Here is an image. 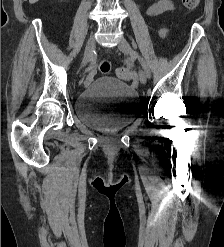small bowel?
I'll return each instance as SVG.
<instances>
[{
	"mask_svg": "<svg viewBox=\"0 0 224 247\" xmlns=\"http://www.w3.org/2000/svg\"><path fill=\"white\" fill-rule=\"evenodd\" d=\"M175 9L174 4L171 0H158L152 3L146 10L148 16H158L164 12L173 11ZM160 35L164 37L166 35V29L160 30Z\"/></svg>",
	"mask_w": 224,
	"mask_h": 247,
	"instance_id": "c3829d8e",
	"label": "small bowel"
}]
</instances>
